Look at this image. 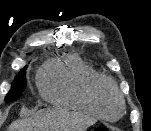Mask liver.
I'll list each match as a JSON object with an SVG mask.
<instances>
[{
    "mask_svg": "<svg viewBox=\"0 0 151 131\" xmlns=\"http://www.w3.org/2000/svg\"><path fill=\"white\" fill-rule=\"evenodd\" d=\"M95 122V118L82 113L66 109H50L13 122L8 131H86Z\"/></svg>",
    "mask_w": 151,
    "mask_h": 131,
    "instance_id": "1",
    "label": "liver"
}]
</instances>
